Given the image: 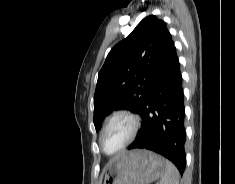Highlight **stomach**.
<instances>
[{
    "label": "stomach",
    "mask_w": 235,
    "mask_h": 184,
    "mask_svg": "<svg viewBox=\"0 0 235 184\" xmlns=\"http://www.w3.org/2000/svg\"><path fill=\"white\" fill-rule=\"evenodd\" d=\"M164 170L163 158L149 150H131L112 160L104 184H151Z\"/></svg>",
    "instance_id": "0dacf381"
}]
</instances>
